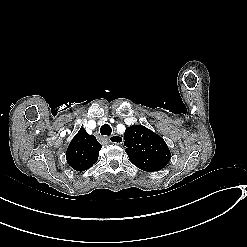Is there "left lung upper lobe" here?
Here are the masks:
<instances>
[{
	"instance_id": "obj_1",
	"label": "left lung upper lobe",
	"mask_w": 247,
	"mask_h": 247,
	"mask_svg": "<svg viewBox=\"0 0 247 247\" xmlns=\"http://www.w3.org/2000/svg\"><path fill=\"white\" fill-rule=\"evenodd\" d=\"M124 139L125 152L130 161L143 171H158L171 158L164 139L143 125L126 128Z\"/></svg>"
}]
</instances>
